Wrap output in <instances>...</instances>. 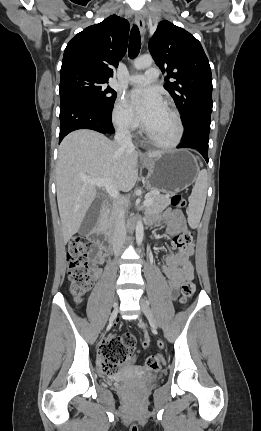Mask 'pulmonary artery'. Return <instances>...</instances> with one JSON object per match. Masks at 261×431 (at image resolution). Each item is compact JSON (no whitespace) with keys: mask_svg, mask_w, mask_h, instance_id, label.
I'll return each instance as SVG.
<instances>
[{"mask_svg":"<svg viewBox=\"0 0 261 431\" xmlns=\"http://www.w3.org/2000/svg\"><path fill=\"white\" fill-rule=\"evenodd\" d=\"M159 77L157 68H149L144 74H132L126 78V81L132 85H146L156 81Z\"/></svg>","mask_w":261,"mask_h":431,"instance_id":"obj_1","label":"pulmonary artery"}]
</instances>
